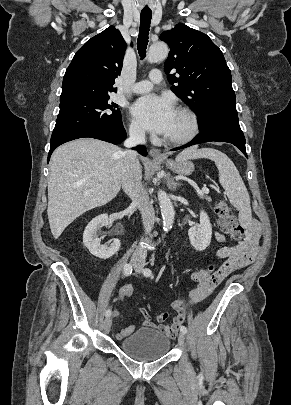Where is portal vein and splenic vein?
I'll use <instances>...</instances> for the list:
<instances>
[{
  "label": "portal vein and splenic vein",
  "mask_w": 291,
  "mask_h": 405,
  "mask_svg": "<svg viewBox=\"0 0 291 405\" xmlns=\"http://www.w3.org/2000/svg\"><path fill=\"white\" fill-rule=\"evenodd\" d=\"M97 187H101V185L98 184ZM200 193H202V194H208V193H209V189L204 186V187L201 189Z\"/></svg>",
  "instance_id": "portal-vein-and-splenic-vein-1"
}]
</instances>
